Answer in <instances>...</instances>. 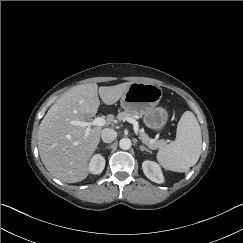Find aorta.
I'll list each match as a JSON object with an SVG mask.
<instances>
[{
    "label": "aorta",
    "instance_id": "aorta-1",
    "mask_svg": "<svg viewBox=\"0 0 243 243\" xmlns=\"http://www.w3.org/2000/svg\"><path fill=\"white\" fill-rule=\"evenodd\" d=\"M131 146H132V142L129 138H122L119 141V147L123 150H128L131 148Z\"/></svg>",
    "mask_w": 243,
    "mask_h": 243
}]
</instances>
